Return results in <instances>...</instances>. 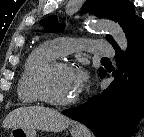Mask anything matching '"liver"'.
I'll use <instances>...</instances> for the list:
<instances>
[{
    "instance_id": "6515ba94",
    "label": "liver",
    "mask_w": 144,
    "mask_h": 137,
    "mask_svg": "<svg viewBox=\"0 0 144 137\" xmlns=\"http://www.w3.org/2000/svg\"><path fill=\"white\" fill-rule=\"evenodd\" d=\"M72 120L59 111L42 106L20 107L11 111L3 121L4 128H34L60 132L68 128Z\"/></svg>"
}]
</instances>
